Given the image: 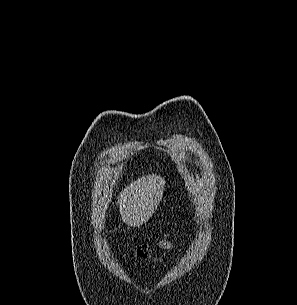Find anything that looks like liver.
<instances>
[{"label":"liver","mask_w":297,"mask_h":305,"mask_svg":"<svg viewBox=\"0 0 297 305\" xmlns=\"http://www.w3.org/2000/svg\"><path fill=\"white\" fill-rule=\"evenodd\" d=\"M164 189L160 176L147 175L126 186L117 198L122 221L131 227L146 223L158 207Z\"/></svg>","instance_id":"obj_1"}]
</instances>
